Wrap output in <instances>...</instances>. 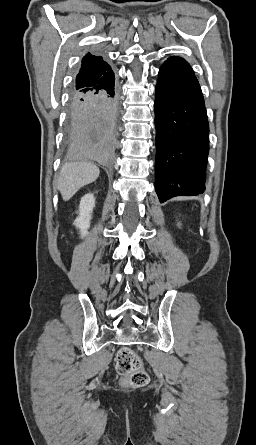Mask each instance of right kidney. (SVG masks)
Returning a JSON list of instances; mask_svg holds the SVG:
<instances>
[{"label":"right kidney","instance_id":"ca27d5eb","mask_svg":"<svg viewBox=\"0 0 256 445\" xmlns=\"http://www.w3.org/2000/svg\"><path fill=\"white\" fill-rule=\"evenodd\" d=\"M95 207V198L92 193L86 194L81 198L79 205V216L74 221V225L80 229L81 237L88 234L90 227L91 215Z\"/></svg>","mask_w":256,"mask_h":445}]
</instances>
